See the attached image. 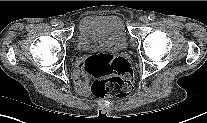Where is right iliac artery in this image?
<instances>
[{
	"label": "right iliac artery",
	"instance_id": "82829eb1",
	"mask_svg": "<svg viewBox=\"0 0 207 123\" xmlns=\"http://www.w3.org/2000/svg\"><path fill=\"white\" fill-rule=\"evenodd\" d=\"M52 26H57L58 25V21L56 19L51 21Z\"/></svg>",
	"mask_w": 207,
	"mask_h": 123
}]
</instances>
